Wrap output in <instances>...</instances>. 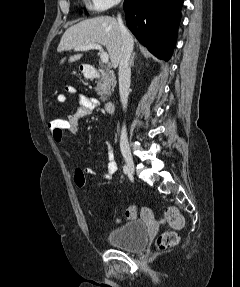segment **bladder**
Returning a JSON list of instances; mask_svg holds the SVG:
<instances>
[{
	"label": "bladder",
	"mask_w": 240,
	"mask_h": 287,
	"mask_svg": "<svg viewBox=\"0 0 240 287\" xmlns=\"http://www.w3.org/2000/svg\"><path fill=\"white\" fill-rule=\"evenodd\" d=\"M107 241L113 247L138 252L147 244L148 229L142 221L128 222L111 230L107 235Z\"/></svg>",
	"instance_id": "obj_1"
}]
</instances>
